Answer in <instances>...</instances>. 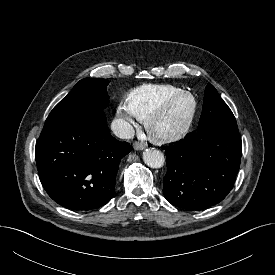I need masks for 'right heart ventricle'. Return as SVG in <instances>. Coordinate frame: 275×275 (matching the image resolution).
Instances as JSON below:
<instances>
[{"label": "right heart ventricle", "mask_w": 275, "mask_h": 275, "mask_svg": "<svg viewBox=\"0 0 275 275\" xmlns=\"http://www.w3.org/2000/svg\"><path fill=\"white\" fill-rule=\"evenodd\" d=\"M181 90L170 84H144L128 94L126 104L135 117L144 120L156 106Z\"/></svg>", "instance_id": "e07e8e85"}]
</instances>
